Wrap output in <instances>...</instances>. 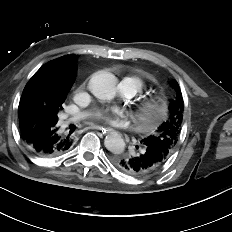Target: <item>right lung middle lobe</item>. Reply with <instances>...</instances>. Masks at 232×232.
Listing matches in <instances>:
<instances>
[{"label":"right lung middle lobe","instance_id":"obj_1","mask_svg":"<svg viewBox=\"0 0 232 232\" xmlns=\"http://www.w3.org/2000/svg\"><path fill=\"white\" fill-rule=\"evenodd\" d=\"M68 91L63 90L57 84L48 80L40 79L32 85L29 92L22 94L18 107L20 130L22 121L24 124L33 121V112L36 110L38 120L49 128L57 127L58 112L63 108ZM32 123L31 125H33Z\"/></svg>","mask_w":232,"mask_h":232}]
</instances>
